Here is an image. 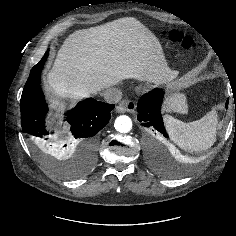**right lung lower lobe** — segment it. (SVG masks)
<instances>
[{
    "instance_id": "obj_1",
    "label": "right lung lower lobe",
    "mask_w": 236,
    "mask_h": 236,
    "mask_svg": "<svg viewBox=\"0 0 236 236\" xmlns=\"http://www.w3.org/2000/svg\"><path fill=\"white\" fill-rule=\"evenodd\" d=\"M49 50L36 64L24 86L21 101V126L30 138L47 151L71 154L76 152L84 160L94 157L97 146L96 134L104 128L111 117L114 105L88 98L66 113L69 126L67 132L52 136L45 127L48 106L40 86L41 71L47 60Z\"/></svg>"
}]
</instances>
